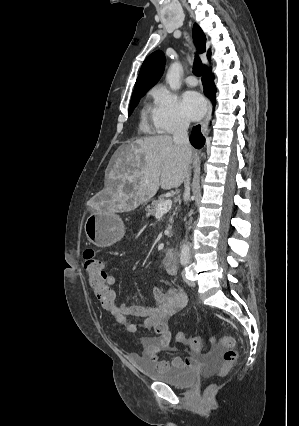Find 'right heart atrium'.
Returning a JSON list of instances; mask_svg holds the SVG:
<instances>
[{"mask_svg":"<svg viewBox=\"0 0 299 426\" xmlns=\"http://www.w3.org/2000/svg\"><path fill=\"white\" fill-rule=\"evenodd\" d=\"M153 97L155 105L151 118L157 131L170 134L188 126V119L175 93L159 86L154 90Z\"/></svg>","mask_w":299,"mask_h":426,"instance_id":"obj_1","label":"right heart atrium"}]
</instances>
